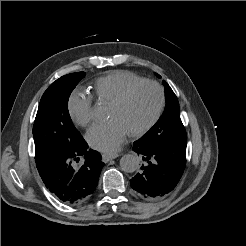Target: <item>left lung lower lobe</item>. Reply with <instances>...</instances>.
I'll list each match as a JSON object with an SVG mask.
<instances>
[{
	"label": "left lung lower lobe",
	"mask_w": 246,
	"mask_h": 246,
	"mask_svg": "<svg viewBox=\"0 0 246 246\" xmlns=\"http://www.w3.org/2000/svg\"><path fill=\"white\" fill-rule=\"evenodd\" d=\"M133 150L142 157L141 170L131 180V187L145 199H159L179 182L186 164V143H146L139 139Z\"/></svg>",
	"instance_id": "left-lung-lower-lobe-1"
}]
</instances>
